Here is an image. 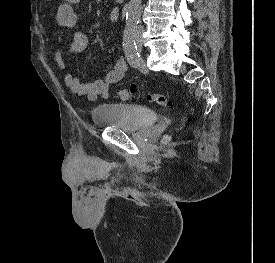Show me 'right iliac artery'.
I'll return each instance as SVG.
<instances>
[{
    "label": "right iliac artery",
    "mask_w": 275,
    "mask_h": 263,
    "mask_svg": "<svg viewBox=\"0 0 275 263\" xmlns=\"http://www.w3.org/2000/svg\"><path fill=\"white\" fill-rule=\"evenodd\" d=\"M123 48L129 64L132 67H137L139 64V53L133 38V30L131 28H126L124 31Z\"/></svg>",
    "instance_id": "1"
}]
</instances>
